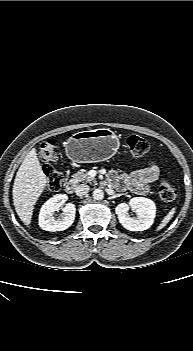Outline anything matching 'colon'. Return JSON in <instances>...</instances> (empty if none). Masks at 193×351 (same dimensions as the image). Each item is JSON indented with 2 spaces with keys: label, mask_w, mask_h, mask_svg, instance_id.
<instances>
[{
  "label": "colon",
  "mask_w": 193,
  "mask_h": 351,
  "mask_svg": "<svg viewBox=\"0 0 193 351\" xmlns=\"http://www.w3.org/2000/svg\"><path fill=\"white\" fill-rule=\"evenodd\" d=\"M126 142L130 152L136 157L143 156L149 151V143L143 137L131 135ZM39 157L46 164V190L49 192L57 191L64 181L63 173L54 166L58 159L57 141L52 138L45 140L41 144ZM158 195L162 201L171 202L177 197V188L170 180L162 179L158 186Z\"/></svg>",
  "instance_id": "5ec220e1"
}]
</instances>
